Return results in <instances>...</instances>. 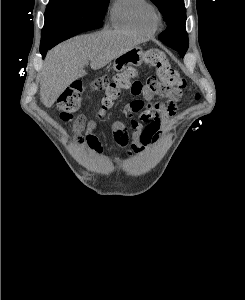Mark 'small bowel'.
Listing matches in <instances>:
<instances>
[{
  "label": "small bowel",
  "instance_id": "1",
  "mask_svg": "<svg viewBox=\"0 0 245 300\" xmlns=\"http://www.w3.org/2000/svg\"><path fill=\"white\" fill-rule=\"evenodd\" d=\"M131 93L135 96H142L147 104L145 105L141 100L143 106L139 110H135L131 103L126 105L124 113L129 120V126L119 120H112V135L115 143L127 150V155L144 154L148 148L158 142L168 122L177 112L178 102L167 100L165 103H151L154 93L146 84L143 85L140 82H138L137 89L132 90ZM93 128V122H86L84 117H79L72 128V134L78 143L100 153L102 146L97 136L92 133Z\"/></svg>",
  "mask_w": 245,
  "mask_h": 300
}]
</instances>
